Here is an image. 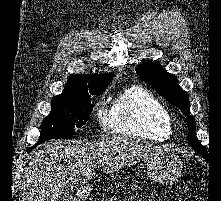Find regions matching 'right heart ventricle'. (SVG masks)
I'll return each instance as SVG.
<instances>
[{
    "instance_id": "right-heart-ventricle-1",
    "label": "right heart ventricle",
    "mask_w": 221,
    "mask_h": 201,
    "mask_svg": "<svg viewBox=\"0 0 221 201\" xmlns=\"http://www.w3.org/2000/svg\"><path fill=\"white\" fill-rule=\"evenodd\" d=\"M112 133L166 141L172 135V119L166 106L149 90L131 86L118 94L109 112Z\"/></svg>"
}]
</instances>
